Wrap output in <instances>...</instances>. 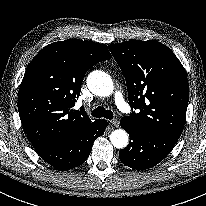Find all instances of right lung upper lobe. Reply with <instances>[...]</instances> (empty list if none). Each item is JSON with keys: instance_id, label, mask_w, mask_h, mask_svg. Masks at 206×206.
Returning <instances> with one entry per match:
<instances>
[{"instance_id": "obj_1", "label": "right lung upper lobe", "mask_w": 206, "mask_h": 206, "mask_svg": "<svg viewBox=\"0 0 206 206\" xmlns=\"http://www.w3.org/2000/svg\"><path fill=\"white\" fill-rule=\"evenodd\" d=\"M110 57L104 44L68 39L47 45L30 62L18 92V111L35 149L69 140L94 123L84 109L72 107L85 73Z\"/></svg>"}]
</instances>
